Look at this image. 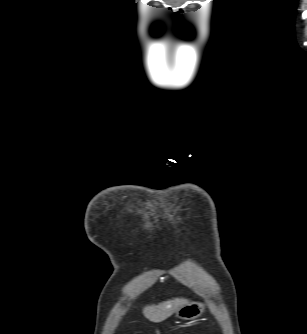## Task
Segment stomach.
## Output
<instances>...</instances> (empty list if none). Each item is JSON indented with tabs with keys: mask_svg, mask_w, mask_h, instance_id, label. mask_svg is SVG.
Segmentation results:
<instances>
[{
	"mask_svg": "<svg viewBox=\"0 0 307 334\" xmlns=\"http://www.w3.org/2000/svg\"><path fill=\"white\" fill-rule=\"evenodd\" d=\"M205 306L199 302H192L184 305L175 312V316L182 320H193L201 316Z\"/></svg>",
	"mask_w": 307,
	"mask_h": 334,
	"instance_id": "stomach-1",
	"label": "stomach"
}]
</instances>
